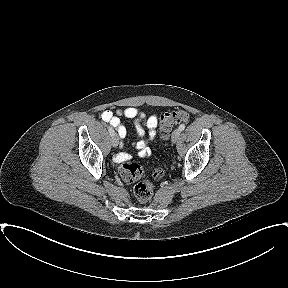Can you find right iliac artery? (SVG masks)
Returning <instances> with one entry per match:
<instances>
[{
  "mask_svg": "<svg viewBox=\"0 0 288 288\" xmlns=\"http://www.w3.org/2000/svg\"><path fill=\"white\" fill-rule=\"evenodd\" d=\"M108 131H109V133H110L111 136L114 135V130H113L112 127L109 126V127H108Z\"/></svg>",
  "mask_w": 288,
  "mask_h": 288,
  "instance_id": "right-iliac-artery-1",
  "label": "right iliac artery"
}]
</instances>
